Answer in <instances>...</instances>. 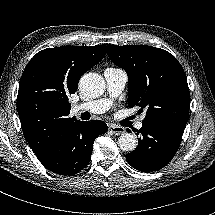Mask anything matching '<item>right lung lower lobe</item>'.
<instances>
[{
    "mask_svg": "<svg viewBox=\"0 0 215 215\" xmlns=\"http://www.w3.org/2000/svg\"><path fill=\"white\" fill-rule=\"evenodd\" d=\"M107 130L106 123L100 120H74L39 161L53 173L64 176L77 174L90 162L94 140Z\"/></svg>",
    "mask_w": 215,
    "mask_h": 215,
    "instance_id": "obj_1",
    "label": "right lung lower lobe"
}]
</instances>
